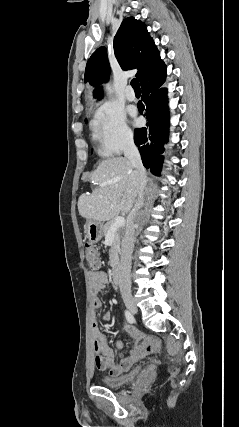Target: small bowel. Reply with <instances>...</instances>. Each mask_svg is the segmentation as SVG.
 I'll use <instances>...</instances> for the list:
<instances>
[{
  "instance_id": "1",
  "label": "small bowel",
  "mask_w": 239,
  "mask_h": 427,
  "mask_svg": "<svg viewBox=\"0 0 239 427\" xmlns=\"http://www.w3.org/2000/svg\"><path fill=\"white\" fill-rule=\"evenodd\" d=\"M90 282L92 307L98 309L102 305L100 294L111 285V282L104 271L91 272ZM103 319L105 322H109L112 319V313L110 311L105 312ZM127 331L135 340V346L128 356L119 362H115L113 350L109 346L102 328L97 323L95 312L92 313L93 348L95 352V365L98 369L108 370L110 375L117 376L129 370L145 354L158 349L159 342L156 338H146L139 330L132 326H127ZM116 344L120 348L123 346L122 342H117Z\"/></svg>"
}]
</instances>
